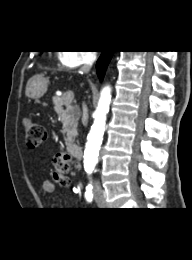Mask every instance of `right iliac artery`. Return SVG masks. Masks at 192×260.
<instances>
[{
	"label": "right iliac artery",
	"instance_id": "82829eb1",
	"mask_svg": "<svg viewBox=\"0 0 192 260\" xmlns=\"http://www.w3.org/2000/svg\"><path fill=\"white\" fill-rule=\"evenodd\" d=\"M84 196H85V199H86L87 202H92V200H93L92 187H87Z\"/></svg>",
	"mask_w": 192,
	"mask_h": 260
}]
</instances>
